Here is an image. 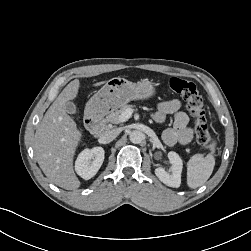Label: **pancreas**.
<instances>
[{
	"instance_id": "cf45deb5",
	"label": "pancreas",
	"mask_w": 251,
	"mask_h": 251,
	"mask_svg": "<svg viewBox=\"0 0 251 251\" xmlns=\"http://www.w3.org/2000/svg\"><path fill=\"white\" fill-rule=\"evenodd\" d=\"M132 105H122L120 106L119 109H115L114 111H112L110 114H108L106 116V121L112 124H118L120 123L119 117L120 115L127 109H131Z\"/></svg>"
}]
</instances>
